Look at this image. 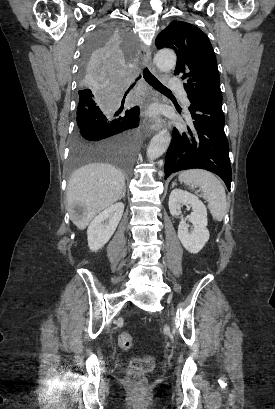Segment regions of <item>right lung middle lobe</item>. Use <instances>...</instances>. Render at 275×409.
I'll use <instances>...</instances> for the list:
<instances>
[{
  "instance_id": "obj_1",
  "label": "right lung middle lobe",
  "mask_w": 275,
  "mask_h": 409,
  "mask_svg": "<svg viewBox=\"0 0 275 409\" xmlns=\"http://www.w3.org/2000/svg\"><path fill=\"white\" fill-rule=\"evenodd\" d=\"M136 43L122 24H98L79 57L76 78L80 85L76 121L70 143L66 176L74 178L78 167L113 163L131 176L141 145L139 107L130 109L126 90V66Z\"/></svg>"
}]
</instances>
